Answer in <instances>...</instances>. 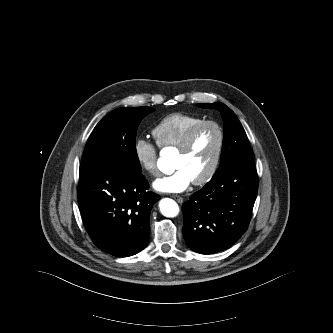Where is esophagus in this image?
<instances>
[{"label": "esophagus", "instance_id": "obj_1", "mask_svg": "<svg viewBox=\"0 0 333 333\" xmlns=\"http://www.w3.org/2000/svg\"><path fill=\"white\" fill-rule=\"evenodd\" d=\"M173 198L178 202V203H183V198L178 196V195H174Z\"/></svg>", "mask_w": 333, "mask_h": 333}]
</instances>
